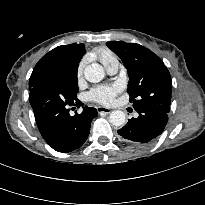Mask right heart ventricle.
I'll return each instance as SVG.
<instances>
[{"mask_svg":"<svg viewBox=\"0 0 205 205\" xmlns=\"http://www.w3.org/2000/svg\"><path fill=\"white\" fill-rule=\"evenodd\" d=\"M93 55L104 65L106 69L112 64L119 62L118 57L111 50L105 47L95 49Z\"/></svg>","mask_w":205,"mask_h":205,"instance_id":"e07e8e85","label":"right heart ventricle"}]
</instances>
